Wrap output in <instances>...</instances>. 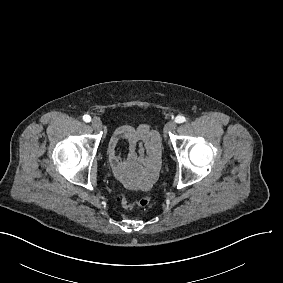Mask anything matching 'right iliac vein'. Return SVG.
I'll return each mask as SVG.
<instances>
[{
    "mask_svg": "<svg viewBox=\"0 0 283 283\" xmlns=\"http://www.w3.org/2000/svg\"><path fill=\"white\" fill-rule=\"evenodd\" d=\"M91 125L96 130L102 129V123L98 118H94L91 122Z\"/></svg>",
    "mask_w": 283,
    "mask_h": 283,
    "instance_id": "63e3f726",
    "label": "right iliac vein"
}]
</instances>
